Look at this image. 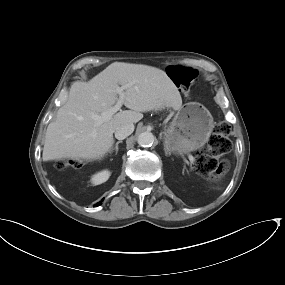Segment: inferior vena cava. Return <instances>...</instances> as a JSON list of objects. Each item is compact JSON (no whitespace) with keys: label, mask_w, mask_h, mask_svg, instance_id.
<instances>
[{"label":"inferior vena cava","mask_w":285,"mask_h":285,"mask_svg":"<svg viewBox=\"0 0 285 285\" xmlns=\"http://www.w3.org/2000/svg\"><path fill=\"white\" fill-rule=\"evenodd\" d=\"M134 131V125L132 123H125L118 126L115 130V138L123 140Z\"/></svg>","instance_id":"602c4592"}]
</instances>
